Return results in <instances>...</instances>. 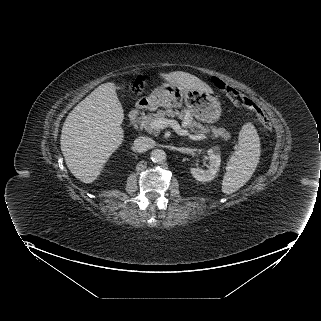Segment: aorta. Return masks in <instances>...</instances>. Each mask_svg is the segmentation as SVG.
I'll return each instance as SVG.
<instances>
[{
  "instance_id": "aorta-1",
  "label": "aorta",
  "mask_w": 321,
  "mask_h": 321,
  "mask_svg": "<svg viewBox=\"0 0 321 321\" xmlns=\"http://www.w3.org/2000/svg\"><path fill=\"white\" fill-rule=\"evenodd\" d=\"M167 158V155L164 150L162 149H155L151 152V160L154 163H163Z\"/></svg>"
}]
</instances>
